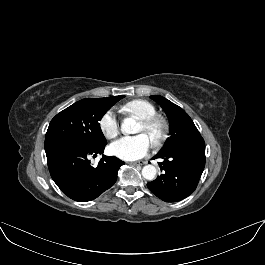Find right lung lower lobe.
<instances>
[{
	"label": "right lung lower lobe",
	"instance_id": "98d812e1",
	"mask_svg": "<svg viewBox=\"0 0 265 265\" xmlns=\"http://www.w3.org/2000/svg\"><path fill=\"white\" fill-rule=\"evenodd\" d=\"M106 144L90 145L68 137L45 138L51 177L69 198L87 202L114 185L124 162L115 156L104 155L97 166L89 160L91 156L102 154Z\"/></svg>",
	"mask_w": 265,
	"mask_h": 265
}]
</instances>
